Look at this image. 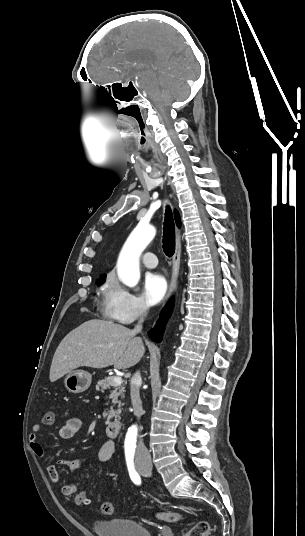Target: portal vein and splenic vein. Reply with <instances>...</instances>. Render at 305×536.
Here are the masks:
<instances>
[{"label":"portal vein and splenic vein","instance_id":"obj_1","mask_svg":"<svg viewBox=\"0 0 305 536\" xmlns=\"http://www.w3.org/2000/svg\"><path fill=\"white\" fill-rule=\"evenodd\" d=\"M112 382H114V384H117V386H121L122 378H120V376H114V378H112Z\"/></svg>","mask_w":305,"mask_h":536}]
</instances>
